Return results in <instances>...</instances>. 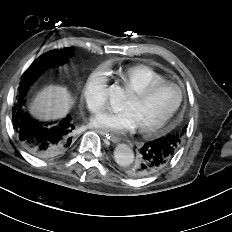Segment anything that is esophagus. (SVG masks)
<instances>
[{"mask_svg":"<svg viewBox=\"0 0 232 232\" xmlns=\"http://www.w3.org/2000/svg\"><path fill=\"white\" fill-rule=\"evenodd\" d=\"M96 132H98L99 134H101L102 136L105 137V139L109 140V141H112L114 143H117L119 141V139L117 137H113L111 136L109 133L103 131V130H100V129H94Z\"/></svg>","mask_w":232,"mask_h":232,"instance_id":"34e87169","label":"esophagus"}]
</instances>
